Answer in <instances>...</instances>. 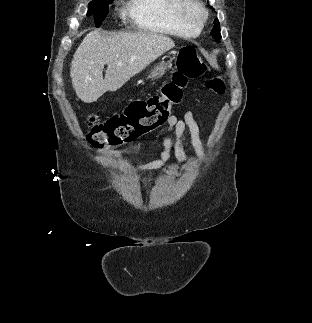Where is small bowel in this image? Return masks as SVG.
I'll return each mask as SVG.
<instances>
[{
	"mask_svg": "<svg viewBox=\"0 0 312 323\" xmlns=\"http://www.w3.org/2000/svg\"><path fill=\"white\" fill-rule=\"evenodd\" d=\"M167 130L172 132L174 137L167 136L163 139L164 149L159 157L149 162L133 165V171L154 173L162 168L171 159L172 155L179 163L187 165L189 157L183 146V138L186 132L194 154L198 158L205 156L206 139L193 111H187L182 117L171 114L167 120ZM140 146V143H136L128 148L107 149L105 153L109 155H127L137 152Z\"/></svg>",
	"mask_w": 312,
	"mask_h": 323,
	"instance_id": "obj_1",
	"label": "small bowel"
}]
</instances>
